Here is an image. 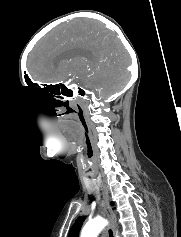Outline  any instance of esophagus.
I'll use <instances>...</instances> for the list:
<instances>
[{"mask_svg": "<svg viewBox=\"0 0 181 237\" xmlns=\"http://www.w3.org/2000/svg\"><path fill=\"white\" fill-rule=\"evenodd\" d=\"M101 190L103 194V203H104L105 212L108 219L111 222V225L108 228L107 234H108V237H116V234H115L116 216L112 210V207L110 206L109 191H108L107 186L104 183L101 185Z\"/></svg>", "mask_w": 181, "mask_h": 237, "instance_id": "34e87169", "label": "esophagus"}]
</instances>
